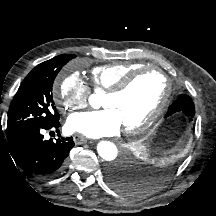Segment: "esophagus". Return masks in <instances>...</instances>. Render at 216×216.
<instances>
[{"instance_id": "1", "label": "esophagus", "mask_w": 216, "mask_h": 216, "mask_svg": "<svg viewBox=\"0 0 216 216\" xmlns=\"http://www.w3.org/2000/svg\"><path fill=\"white\" fill-rule=\"evenodd\" d=\"M73 140L76 144H83L87 142V138L84 135L79 133L73 135Z\"/></svg>"}]
</instances>
